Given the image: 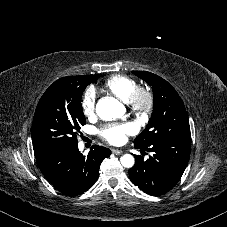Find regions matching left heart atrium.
Wrapping results in <instances>:
<instances>
[{"label":"left heart atrium","mask_w":227,"mask_h":227,"mask_svg":"<svg viewBox=\"0 0 227 227\" xmlns=\"http://www.w3.org/2000/svg\"><path fill=\"white\" fill-rule=\"evenodd\" d=\"M134 133V129L129 124L112 125L102 131V136L113 145L123 144L128 135Z\"/></svg>","instance_id":"obj_1"}]
</instances>
